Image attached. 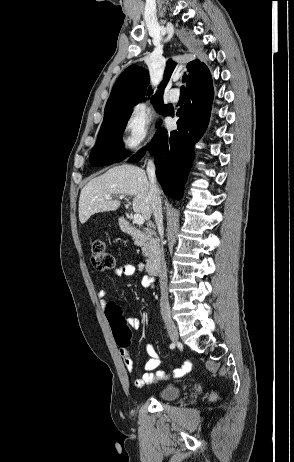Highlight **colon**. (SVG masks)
Returning <instances> with one entry per match:
<instances>
[{
	"instance_id": "5ec220e1",
	"label": "colon",
	"mask_w": 294,
	"mask_h": 462,
	"mask_svg": "<svg viewBox=\"0 0 294 462\" xmlns=\"http://www.w3.org/2000/svg\"><path fill=\"white\" fill-rule=\"evenodd\" d=\"M91 262L95 269L104 271L115 266L114 254L107 249L105 243L96 240L91 245ZM105 314L112 328L115 340L118 344L127 345L130 342L131 332L127 321L122 314L121 308L113 302H108Z\"/></svg>"
}]
</instances>
